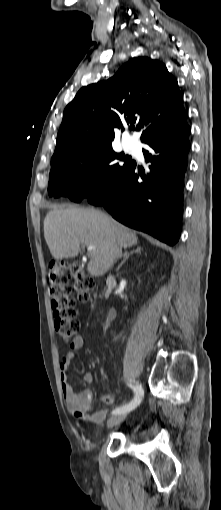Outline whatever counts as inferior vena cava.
<instances>
[{"label": "inferior vena cava", "mask_w": 221, "mask_h": 510, "mask_svg": "<svg viewBox=\"0 0 221 510\" xmlns=\"http://www.w3.org/2000/svg\"><path fill=\"white\" fill-rule=\"evenodd\" d=\"M122 254V248L118 244H114L111 246L110 249V256L112 258V262L116 261L117 258H119Z\"/></svg>", "instance_id": "inferior-vena-cava-1"}]
</instances>
